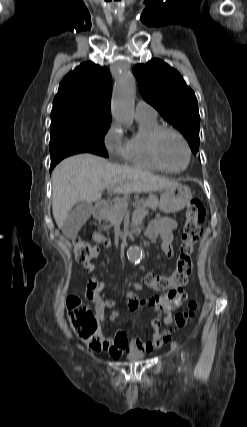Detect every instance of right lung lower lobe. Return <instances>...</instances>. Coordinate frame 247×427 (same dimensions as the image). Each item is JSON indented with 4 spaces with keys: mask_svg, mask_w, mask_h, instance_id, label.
<instances>
[{
    "mask_svg": "<svg viewBox=\"0 0 247 427\" xmlns=\"http://www.w3.org/2000/svg\"><path fill=\"white\" fill-rule=\"evenodd\" d=\"M81 153L77 149L67 150V151H61L51 156V166H50V172L52 169L56 166L57 163H59L63 158L68 157L73 154Z\"/></svg>",
    "mask_w": 247,
    "mask_h": 427,
    "instance_id": "obj_1",
    "label": "right lung lower lobe"
}]
</instances>
